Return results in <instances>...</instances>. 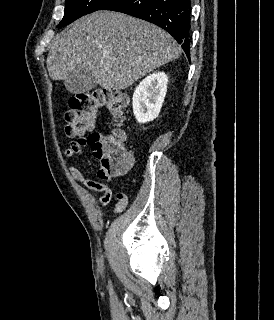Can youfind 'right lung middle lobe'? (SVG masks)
I'll list each match as a JSON object with an SVG mask.
<instances>
[{
  "mask_svg": "<svg viewBox=\"0 0 274 320\" xmlns=\"http://www.w3.org/2000/svg\"><path fill=\"white\" fill-rule=\"evenodd\" d=\"M115 0H66L64 17L57 27L65 26L76 19L105 8Z\"/></svg>",
  "mask_w": 274,
  "mask_h": 320,
  "instance_id": "1",
  "label": "right lung middle lobe"
}]
</instances>
